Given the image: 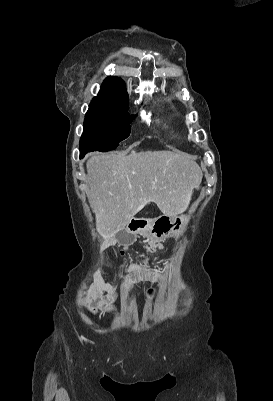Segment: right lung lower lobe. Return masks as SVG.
<instances>
[{"label": "right lung lower lobe", "instance_id": "right-lung-lower-lobe-1", "mask_svg": "<svg viewBox=\"0 0 273 401\" xmlns=\"http://www.w3.org/2000/svg\"><path fill=\"white\" fill-rule=\"evenodd\" d=\"M83 156H84V154L80 152V157L82 158Z\"/></svg>", "mask_w": 273, "mask_h": 401}]
</instances>
